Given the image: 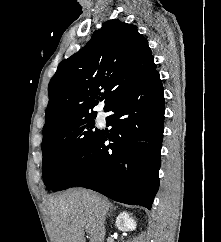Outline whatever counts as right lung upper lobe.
<instances>
[{
    "label": "right lung upper lobe",
    "mask_w": 221,
    "mask_h": 242,
    "mask_svg": "<svg viewBox=\"0 0 221 242\" xmlns=\"http://www.w3.org/2000/svg\"><path fill=\"white\" fill-rule=\"evenodd\" d=\"M155 70L148 41L135 25L117 19L103 23L84 48L59 64L52 77L43 136L80 117L96 114L93 108L99 96L105 99V111Z\"/></svg>",
    "instance_id": "1"
}]
</instances>
